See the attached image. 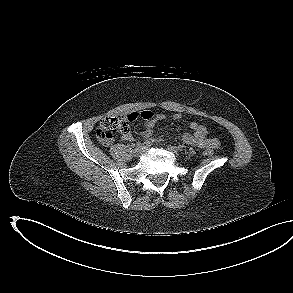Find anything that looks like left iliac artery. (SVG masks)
<instances>
[{
  "label": "left iliac artery",
  "instance_id": "1",
  "mask_svg": "<svg viewBox=\"0 0 293 293\" xmlns=\"http://www.w3.org/2000/svg\"><path fill=\"white\" fill-rule=\"evenodd\" d=\"M183 148H184V146H183V145H179V146H178V149H179L180 151H182V150H183Z\"/></svg>",
  "mask_w": 293,
  "mask_h": 293
}]
</instances>
